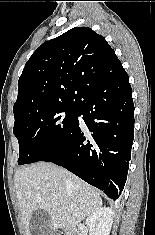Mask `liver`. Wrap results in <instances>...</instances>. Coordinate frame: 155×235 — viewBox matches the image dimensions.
<instances>
[{"instance_id":"liver-1","label":"liver","mask_w":155,"mask_h":235,"mask_svg":"<svg viewBox=\"0 0 155 235\" xmlns=\"http://www.w3.org/2000/svg\"><path fill=\"white\" fill-rule=\"evenodd\" d=\"M14 183L26 235L36 209L50 216L52 229H70L102 207L99 192L68 170L38 162L15 172Z\"/></svg>"}]
</instances>
